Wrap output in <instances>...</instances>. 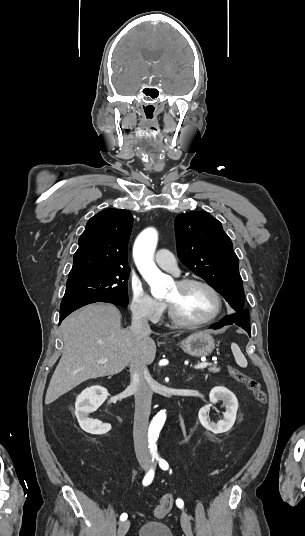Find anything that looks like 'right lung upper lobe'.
<instances>
[{
	"mask_svg": "<svg viewBox=\"0 0 305 536\" xmlns=\"http://www.w3.org/2000/svg\"><path fill=\"white\" fill-rule=\"evenodd\" d=\"M133 216L128 210L106 209L89 219L80 236L69 277L92 272L130 270L127 245Z\"/></svg>",
	"mask_w": 305,
	"mask_h": 536,
	"instance_id": "cb5924a9",
	"label": "right lung upper lobe"
}]
</instances>
